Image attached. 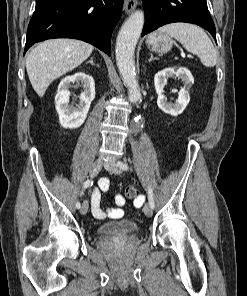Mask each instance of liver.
<instances>
[{
    "mask_svg": "<svg viewBox=\"0 0 247 296\" xmlns=\"http://www.w3.org/2000/svg\"><path fill=\"white\" fill-rule=\"evenodd\" d=\"M93 46L76 39H51L38 44L26 58L31 85L43 97L52 81L83 63Z\"/></svg>",
    "mask_w": 247,
    "mask_h": 296,
    "instance_id": "liver-1",
    "label": "liver"
}]
</instances>
